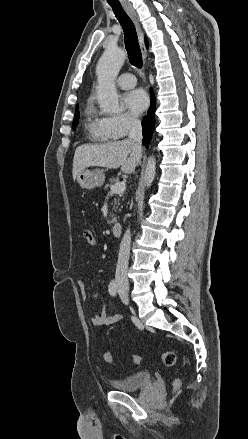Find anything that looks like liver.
<instances>
[{
  "label": "liver",
  "mask_w": 248,
  "mask_h": 439,
  "mask_svg": "<svg viewBox=\"0 0 248 439\" xmlns=\"http://www.w3.org/2000/svg\"><path fill=\"white\" fill-rule=\"evenodd\" d=\"M141 160V151L128 139L102 144H83L76 148L73 159V179L88 167H121L125 173H133Z\"/></svg>",
  "instance_id": "1"
}]
</instances>
